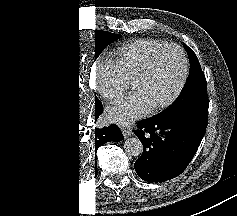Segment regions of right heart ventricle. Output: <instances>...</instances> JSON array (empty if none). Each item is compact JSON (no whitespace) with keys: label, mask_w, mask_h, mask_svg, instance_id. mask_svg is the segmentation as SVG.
Listing matches in <instances>:
<instances>
[{"label":"right heart ventricle","mask_w":237,"mask_h":216,"mask_svg":"<svg viewBox=\"0 0 237 216\" xmlns=\"http://www.w3.org/2000/svg\"><path fill=\"white\" fill-rule=\"evenodd\" d=\"M161 50V45L154 38L139 39L124 45L118 53V63L125 75L137 78V75L156 53Z\"/></svg>","instance_id":"1"}]
</instances>
